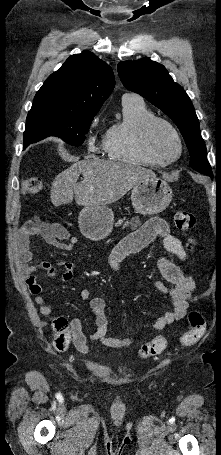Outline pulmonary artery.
I'll use <instances>...</instances> for the list:
<instances>
[{
    "label": "pulmonary artery",
    "mask_w": 221,
    "mask_h": 455,
    "mask_svg": "<svg viewBox=\"0 0 221 455\" xmlns=\"http://www.w3.org/2000/svg\"><path fill=\"white\" fill-rule=\"evenodd\" d=\"M128 97H133L138 100H142V98L136 94L133 93H125L122 98H128Z\"/></svg>",
    "instance_id": "pulmonary-artery-1"
}]
</instances>
